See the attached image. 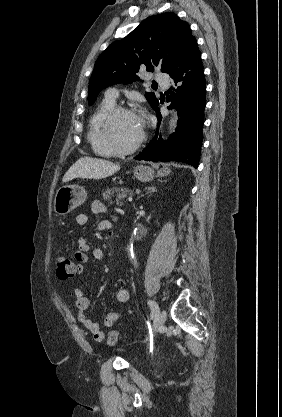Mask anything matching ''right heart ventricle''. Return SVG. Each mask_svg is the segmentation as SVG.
Wrapping results in <instances>:
<instances>
[{
	"mask_svg": "<svg viewBox=\"0 0 282 417\" xmlns=\"http://www.w3.org/2000/svg\"><path fill=\"white\" fill-rule=\"evenodd\" d=\"M115 107V102L105 98L90 121V128H89V141L95 150L96 153L109 156L114 154V152L105 144L103 135L99 131L98 127L101 121L105 118V116Z\"/></svg>",
	"mask_w": 282,
	"mask_h": 417,
	"instance_id": "e07e8e85",
	"label": "right heart ventricle"
}]
</instances>
